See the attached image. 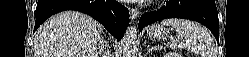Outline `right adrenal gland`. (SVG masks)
<instances>
[{"label":"right adrenal gland","instance_id":"right-adrenal-gland-1","mask_svg":"<svg viewBox=\"0 0 249 57\" xmlns=\"http://www.w3.org/2000/svg\"><path fill=\"white\" fill-rule=\"evenodd\" d=\"M99 45H100V47L102 46L103 48H105L107 46L103 39H100Z\"/></svg>","mask_w":249,"mask_h":57}]
</instances>
